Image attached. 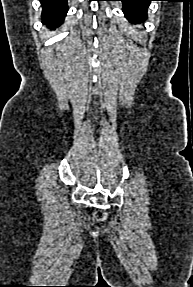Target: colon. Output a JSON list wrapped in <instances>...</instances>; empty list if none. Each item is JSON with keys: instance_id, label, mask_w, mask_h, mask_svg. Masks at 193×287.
I'll return each mask as SVG.
<instances>
[{"instance_id": "1", "label": "colon", "mask_w": 193, "mask_h": 287, "mask_svg": "<svg viewBox=\"0 0 193 287\" xmlns=\"http://www.w3.org/2000/svg\"><path fill=\"white\" fill-rule=\"evenodd\" d=\"M94 215L99 220H102L105 218V213L102 210H96Z\"/></svg>"}]
</instances>
